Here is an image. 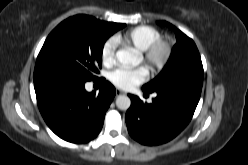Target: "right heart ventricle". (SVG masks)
I'll use <instances>...</instances> for the list:
<instances>
[{
	"label": "right heart ventricle",
	"mask_w": 248,
	"mask_h": 165,
	"mask_svg": "<svg viewBox=\"0 0 248 165\" xmlns=\"http://www.w3.org/2000/svg\"><path fill=\"white\" fill-rule=\"evenodd\" d=\"M160 37L161 34L156 28L141 25L117 35L115 39L123 45L132 46L142 52Z\"/></svg>",
	"instance_id": "obj_1"
}]
</instances>
